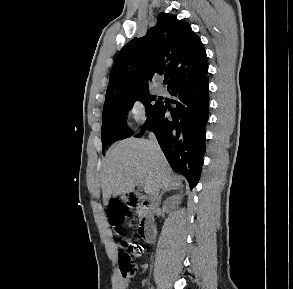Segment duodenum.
<instances>
[{"instance_id":"1","label":"duodenum","mask_w":293,"mask_h":289,"mask_svg":"<svg viewBox=\"0 0 293 289\" xmlns=\"http://www.w3.org/2000/svg\"><path fill=\"white\" fill-rule=\"evenodd\" d=\"M126 202L131 207L136 209L140 214L138 230L141 237L147 242L152 243L156 238V229L151 203L143 200L134 192L127 193Z\"/></svg>"}]
</instances>
